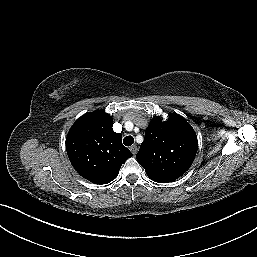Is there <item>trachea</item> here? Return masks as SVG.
Here are the masks:
<instances>
[{
	"label": "trachea",
	"mask_w": 257,
	"mask_h": 257,
	"mask_svg": "<svg viewBox=\"0 0 257 257\" xmlns=\"http://www.w3.org/2000/svg\"><path fill=\"white\" fill-rule=\"evenodd\" d=\"M123 143L125 146H131L134 143V138L132 136H126L123 139Z\"/></svg>",
	"instance_id": "trachea-1"
}]
</instances>
